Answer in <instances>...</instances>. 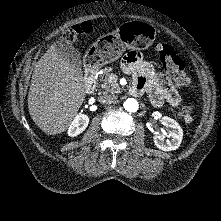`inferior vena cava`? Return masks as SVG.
Returning <instances> with one entry per match:
<instances>
[{
	"label": "inferior vena cava",
	"mask_w": 221,
	"mask_h": 221,
	"mask_svg": "<svg viewBox=\"0 0 221 221\" xmlns=\"http://www.w3.org/2000/svg\"><path fill=\"white\" fill-rule=\"evenodd\" d=\"M116 96L113 94H110L108 92H104L101 96H100V102L102 103H106V104H115L117 102L116 100Z\"/></svg>",
	"instance_id": "602c4592"
}]
</instances>
